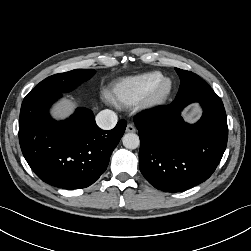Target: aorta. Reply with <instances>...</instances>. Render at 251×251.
Instances as JSON below:
<instances>
[{"label": "aorta", "mask_w": 251, "mask_h": 251, "mask_svg": "<svg viewBox=\"0 0 251 251\" xmlns=\"http://www.w3.org/2000/svg\"><path fill=\"white\" fill-rule=\"evenodd\" d=\"M122 142L127 149H136L140 145L139 136L135 133H127L123 136Z\"/></svg>", "instance_id": "1"}]
</instances>
